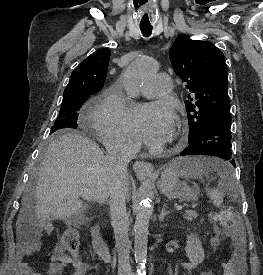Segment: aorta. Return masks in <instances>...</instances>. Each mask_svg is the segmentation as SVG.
<instances>
[{
    "mask_svg": "<svg viewBox=\"0 0 263 275\" xmlns=\"http://www.w3.org/2000/svg\"><path fill=\"white\" fill-rule=\"evenodd\" d=\"M158 68V63L149 57L137 58L123 73V85L130 96H137L145 80ZM152 194L146 191L136 209L134 224V257L138 275H144L147 260L149 221L152 215Z\"/></svg>",
    "mask_w": 263,
    "mask_h": 275,
    "instance_id": "aorta-1",
    "label": "aorta"
}]
</instances>
